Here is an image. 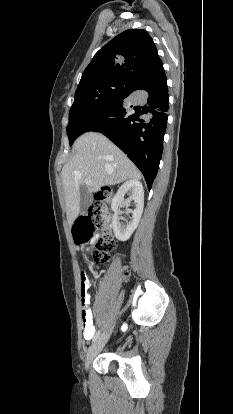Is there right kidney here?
<instances>
[{
  "instance_id": "obj_1",
  "label": "right kidney",
  "mask_w": 233,
  "mask_h": 414,
  "mask_svg": "<svg viewBox=\"0 0 233 414\" xmlns=\"http://www.w3.org/2000/svg\"><path fill=\"white\" fill-rule=\"evenodd\" d=\"M129 192V198L124 199L126 193ZM131 201L134 202V210L127 209V213H131V220L126 223L120 221L119 218V207L122 204L129 206ZM111 208L114 211L112 226L116 238L120 241H126L130 238L132 233L137 228L143 208H144V190L142 183L138 180H128L120 186L116 195L112 199Z\"/></svg>"
}]
</instances>
